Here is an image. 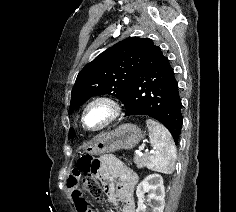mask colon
<instances>
[{
	"label": "colon",
	"mask_w": 236,
	"mask_h": 212,
	"mask_svg": "<svg viewBox=\"0 0 236 212\" xmlns=\"http://www.w3.org/2000/svg\"><path fill=\"white\" fill-rule=\"evenodd\" d=\"M78 168L84 173L81 178V185L85 192L95 198H100L102 188L98 176L94 172L95 160L92 157L82 158L78 163ZM90 212H93L90 210Z\"/></svg>",
	"instance_id": "5ec220e1"
}]
</instances>
